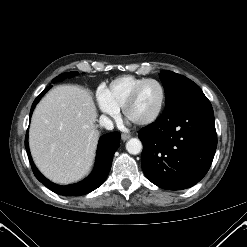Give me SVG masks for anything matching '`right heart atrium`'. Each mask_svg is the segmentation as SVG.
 I'll return each mask as SVG.
<instances>
[{
  "label": "right heart atrium",
  "instance_id": "d8ad5b80",
  "mask_svg": "<svg viewBox=\"0 0 247 247\" xmlns=\"http://www.w3.org/2000/svg\"><path fill=\"white\" fill-rule=\"evenodd\" d=\"M97 103L100 110L112 117L118 116V109L108 100L105 88H99L97 91Z\"/></svg>",
  "mask_w": 247,
  "mask_h": 247
}]
</instances>
